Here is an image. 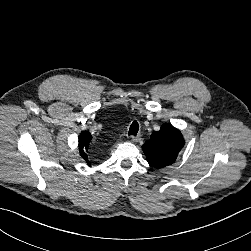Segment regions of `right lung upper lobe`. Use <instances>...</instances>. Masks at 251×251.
<instances>
[{
  "label": "right lung upper lobe",
  "instance_id": "1",
  "mask_svg": "<svg viewBox=\"0 0 251 251\" xmlns=\"http://www.w3.org/2000/svg\"><path fill=\"white\" fill-rule=\"evenodd\" d=\"M92 139V136L89 132L87 131H82L80 136H79V150H80V155L82 158L87 162L89 166H91L90 161L88 160V156L86 154L88 145Z\"/></svg>",
  "mask_w": 251,
  "mask_h": 251
}]
</instances>
